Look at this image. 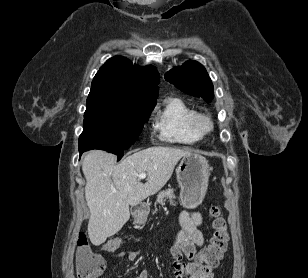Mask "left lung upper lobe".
Listing matches in <instances>:
<instances>
[{
    "mask_svg": "<svg viewBox=\"0 0 308 278\" xmlns=\"http://www.w3.org/2000/svg\"><path fill=\"white\" fill-rule=\"evenodd\" d=\"M165 79L189 95L201 96L207 102L213 98L212 81L206 69L196 61H187L172 69L165 74Z\"/></svg>",
    "mask_w": 308,
    "mask_h": 278,
    "instance_id": "obj_1",
    "label": "left lung upper lobe"
}]
</instances>
